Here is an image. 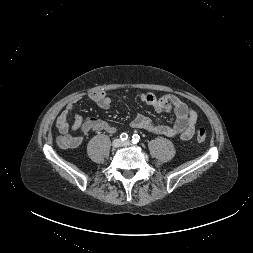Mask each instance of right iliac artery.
<instances>
[{
	"label": "right iliac artery",
	"mask_w": 253,
	"mask_h": 253,
	"mask_svg": "<svg viewBox=\"0 0 253 253\" xmlns=\"http://www.w3.org/2000/svg\"><path fill=\"white\" fill-rule=\"evenodd\" d=\"M120 139H121L122 141H125V140L128 139V135H127L126 133H122V134L120 135Z\"/></svg>",
	"instance_id": "1"
}]
</instances>
